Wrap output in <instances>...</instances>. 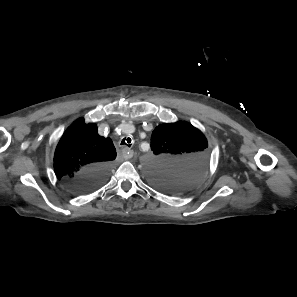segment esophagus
Returning a JSON list of instances; mask_svg holds the SVG:
<instances>
[{"label":"esophagus","instance_id":"1","mask_svg":"<svg viewBox=\"0 0 297 297\" xmlns=\"http://www.w3.org/2000/svg\"><path fill=\"white\" fill-rule=\"evenodd\" d=\"M133 150L129 149L128 147H124L122 148V155L124 157V159H130L133 157Z\"/></svg>","mask_w":297,"mask_h":297}]
</instances>
